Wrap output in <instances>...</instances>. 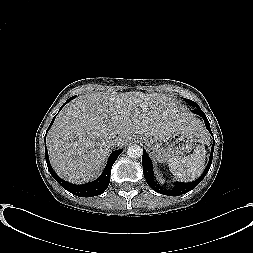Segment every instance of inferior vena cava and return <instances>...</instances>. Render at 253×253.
Returning <instances> with one entry per match:
<instances>
[{
  "instance_id": "1",
  "label": "inferior vena cava",
  "mask_w": 253,
  "mask_h": 253,
  "mask_svg": "<svg viewBox=\"0 0 253 253\" xmlns=\"http://www.w3.org/2000/svg\"><path fill=\"white\" fill-rule=\"evenodd\" d=\"M111 145L115 148H120L122 146V138L120 136H113L111 138Z\"/></svg>"
}]
</instances>
